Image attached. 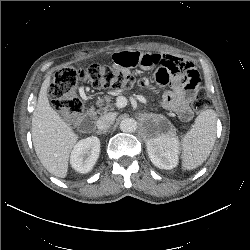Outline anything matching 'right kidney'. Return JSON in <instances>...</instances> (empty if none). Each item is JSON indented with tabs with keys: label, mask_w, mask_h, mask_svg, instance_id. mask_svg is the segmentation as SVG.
Returning <instances> with one entry per match:
<instances>
[{
	"label": "right kidney",
	"mask_w": 250,
	"mask_h": 250,
	"mask_svg": "<svg viewBox=\"0 0 250 250\" xmlns=\"http://www.w3.org/2000/svg\"><path fill=\"white\" fill-rule=\"evenodd\" d=\"M100 153V140L92 136L80 140L74 146L70 164L79 173H88L95 165Z\"/></svg>",
	"instance_id": "obj_1"
}]
</instances>
